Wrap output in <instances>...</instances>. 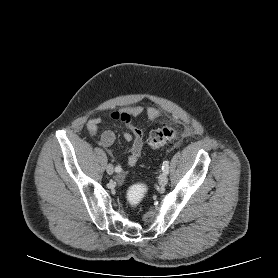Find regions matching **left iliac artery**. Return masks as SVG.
I'll return each instance as SVG.
<instances>
[{
	"label": "left iliac artery",
	"mask_w": 278,
	"mask_h": 278,
	"mask_svg": "<svg viewBox=\"0 0 278 278\" xmlns=\"http://www.w3.org/2000/svg\"><path fill=\"white\" fill-rule=\"evenodd\" d=\"M162 170L164 173L168 174V172H169V162L168 161L163 162Z\"/></svg>",
	"instance_id": "1"
}]
</instances>
